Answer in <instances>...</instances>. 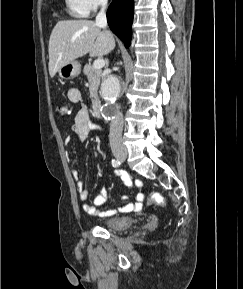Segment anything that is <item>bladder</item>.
<instances>
[{
	"mask_svg": "<svg viewBox=\"0 0 243 289\" xmlns=\"http://www.w3.org/2000/svg\"><path fill=\"white\" fill-rule=\"evenodd\" d=\"M133 218L124 215H111L101 220V225L110 230H124L132 226Z\"/></svg>",
	"mask_w": 243,
	"mask_h": 289,
	"instance_id": "obj_1",
	"label": "bladder"
}]
</instances>
